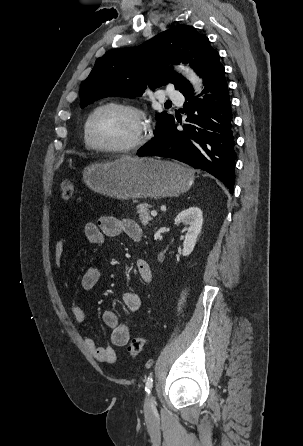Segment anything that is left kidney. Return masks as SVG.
I'll list each match as a JSON object with an SVG mask.
<instances>
[{"instance_id":"obj_1","label":"left kidney","mask_w":303,"mask_h":446,"mask_svg":"<svg viewBox=\"0 0 303 446\" xmlns=\"http://www.w3.org/2000/svg\"><path fill=\"white\" fill-rule=\"evenodd\" d=\"M187 226V233L183 243L182 255L188 256L192 253L197 237L201 232L203 217L202 211L198 207H189L186 210L180 212L175 218V224H181Z\"/></svg>"}]
</instances>
